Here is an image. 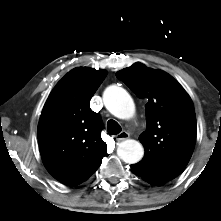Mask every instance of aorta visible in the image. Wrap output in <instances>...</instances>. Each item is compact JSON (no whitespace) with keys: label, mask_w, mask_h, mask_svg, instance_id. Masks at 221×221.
I'll list each match as a JSON object with an SVG mask.
<instances>
[{"label":"aorta","mask_w":221,"mask_h":221,"mask_svg":"<svg viewBox=\"0 0 221 221\" xmlns=\"http://www.w3.org/2000/svg\"><path fill=\"white\" fill-rule=\"evenodd\" d=\"M103 101L108 111L119 119H130L135 114L133 99L122 87L109 86L103 93ZM117 154L124 162L135 164L143 158L144 148L138 141L128 139L119 144Z\"/></svg>","instance_id":"1"}]
</instances>
